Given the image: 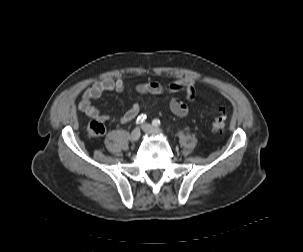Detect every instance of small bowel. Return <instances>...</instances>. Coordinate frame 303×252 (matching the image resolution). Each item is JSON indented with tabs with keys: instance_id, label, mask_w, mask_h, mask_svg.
<instances>
[{
	"instance_id": "obj_1",
	"label": "small bowel",
	"mask_w": 303,
	"mask_h": 252,
	"mask_svg": "<svg viewBox=\"0 0 303 252\" xmlns=\"http://www.w3.org/2000/svg\"><path fill=\"white\" fill-rule=\"evenodd\" d=\"M125 89V83L121 78H104L90 85L81 95L78 102V108L86 116L99 120L103 123L107 122L109 115L102 114L93 104L92 100L98 99L105 92L121 93ZM140 94H163L184 92L188 101H193L196 97V89L194 83L187 78H176L168 84H160L155 81H145L136 87ZM171 112L179 117H184L189 113L188 102L173 97L169 101ZM141 111V105L138 102L133 103L129 109L122 115L120 121L128 123L134 120Z\"/></svg>"
}]
</instances>
